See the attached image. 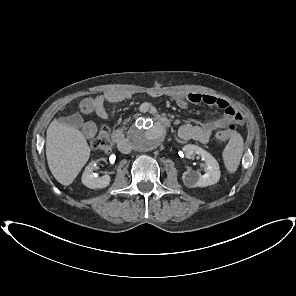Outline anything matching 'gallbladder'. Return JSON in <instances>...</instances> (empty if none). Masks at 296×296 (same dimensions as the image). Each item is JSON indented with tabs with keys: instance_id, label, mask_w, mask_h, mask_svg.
<instances>
[{
	"instance_id": "bac80fb5",
	"label": "gallbladder",
	"mask_w": 296,
	"mask_h": 296,
	"mask_svg": "<svg viewBox=\"0 0 296 296\" xmlns=\"http://www.w3.org/2000/svg\"><path fill=\"white\" fill-rule=\"evenodd\" d=\"M59 122L67 126L80 127L83 124V118L80 114L76 113L71 116L59 118Z\"/></svg>"
}]
</instances>
